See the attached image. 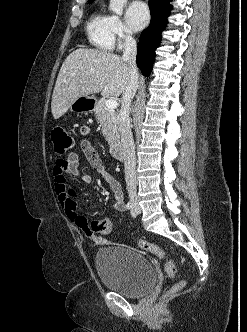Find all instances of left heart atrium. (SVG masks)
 <instances>
[{"instance_id":"left-heart-atrium-1","label":"left heart atrium","mask_w":247,"mask_h":332,"mask_svg":"<svg viewBox=\"0 0 247 332\" xmlns=\"http://www.w3.org/2000/svg\"><path fill=\"white\" fill-rule=\"evenodd\" d=\"M149 17L148 7L141 1L132 2L126 10L127 23L134 30L144 28L149 21Z\"/></svg>"}]
</instances>
